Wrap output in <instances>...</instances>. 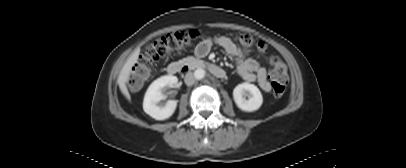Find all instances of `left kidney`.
<instances>
[{
  "label": "left kidney",
  "mask_w": 406,
  "mask_h": 168,
  "mask_svg": "<svg viewBox=\"0 0 406 168\" xmlns=\"http://www.w3.org/2000/svg\"><path fill=\"white\" fill-rule=\"evenodd\" d=\"M233 98L237 107L246 112L258 110L263 103L262 94L257 86L247 82L238 84L234 88Z\"/></svg>",
  "instance_id": "1"
}]
</instances>
